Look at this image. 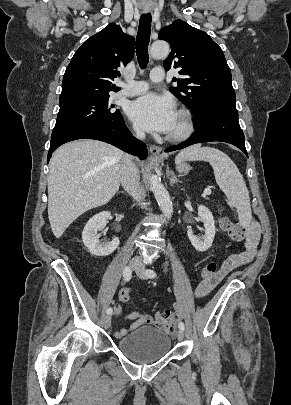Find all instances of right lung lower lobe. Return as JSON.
Returning a JSON list of instances; mask_svg holds the SVG:
<instances>
[{"instance_id": "98d812e1", "label": "right lung lower lobe", "mask_w": 291, "mask_h": 405, "mask_svg": "<svg viewBox=\"0 0 291 405\" xmlns=\"http://www.w3.org/2000/svg\"><path fill=\"white\" fill-rule=\"evenodd\" d=\"M95 139L112 144L125 152L144 159L147 155L146 145L132 136L126 127L123 118L109 126L80 127L51 138L47 162L52 152L60 145L77 139Z\"/></svg>"}]
</instances>
